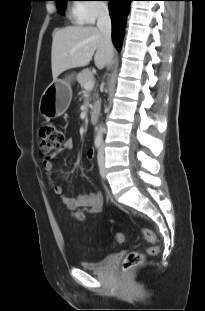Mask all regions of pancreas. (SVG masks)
Here are the masks:
<instances>
[{
	"mask_svg": "<svg viewBox=\"0 0 205 311\" xmlns=\"http://www.w3.org/2000/svg\"><path fill=\"white\" fill-rule=\"evenodd\" d=\"M76 79L81 87L84 88L85 83L93 79V74L89 69H84L77 74Z\"/></svg>",
	"mask_w": 205,
	"mask_h": 311,
	"instance_id": "1",
	"label": "pancreas"
}]
</instances>
